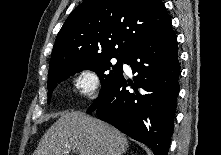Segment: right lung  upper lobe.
I'll list each match as a JSON object with an SVG mask.
<instances>
[{
	"instance_id": "right-lung-upper-lobe-1",
	"label": "right lung upper lobe",
	"mask_w": 221,
	"mask_h": 155,
	"mask_svg": "<svg viewBox=\"0 0 221 155\" xmlns=\"http://www.w3.org/2000/svg\"><path fill=\"white\" fill-rule=\"evenodd\" d=\"M170 24L160 0H85L58 33L49 73L82 61L127 57L142 38Z\"/></svg>"
}]
</instances>
